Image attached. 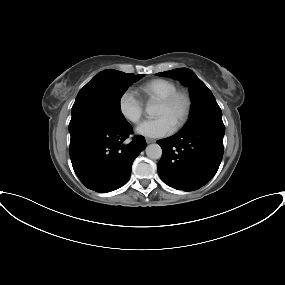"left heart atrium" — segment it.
I'll return each mask as SVG.
<instances>
[{
	"mask_svg": "<svg viewBox=\"0 0 285 285\" xmlns=\"http://www.w3.org/2000/svg\"><path fill=\"white\" fill-rule=\"evenodd\" d=\"M174 131V125L164 116L143 121L136 128L139 135L148 138H160L170 135Z\"/></svg>",
	"mask_w": 285,
	"mask_h": 285,
	"instance_id": "1",
	"label": "left heart atrium"
}]
</instances>
